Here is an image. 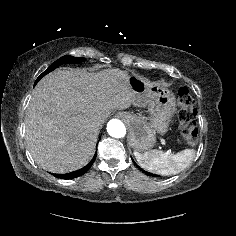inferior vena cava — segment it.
Here are the masks:
<instances>
[{"instance_id": "inferior-vena-cava-1", "label": "inferior vena cava", "mask_w": 236, "mask_h": 236, "mask_svg": "<svg viewBox=\"0 0 236 236\" xmlns=\"http://www.w3.org/2000/svg\"><path fill=\"white\" fill-rule=\"evenodd\" d=\"M92 126L98 128L100 126V123L98 121H95L92 123Z\"/></svg>"}]
</instances>
